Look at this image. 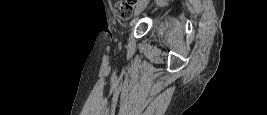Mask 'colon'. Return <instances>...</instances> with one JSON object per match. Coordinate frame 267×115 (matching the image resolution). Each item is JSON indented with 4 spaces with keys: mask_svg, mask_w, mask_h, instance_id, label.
Here are the masks:
<instances>
[{
    "mask_svg": "<svg viewBox=\"0 0 267 115\" xmlns=\"http://www.w3.org/2000/svg\"><path fill=\"white\" fill-rule=\"evenodd\" d=\"M116 14L122 19V20H129L132 18L133 14V8L130 3L126 1H120L116 4L115 7Z\"/></svg>",
    "mask_w": 267,
    "mask_h": 115,
    "instance_id": "1",
    "label": "colon"
}]
</instances>
